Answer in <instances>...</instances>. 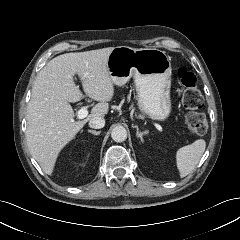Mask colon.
Listing matches in <instances>:
<instances>
[{"mask_svg":"<svg viewBox=\"0 0 240 240\" xmlns=\"http://www.w3.org/2000/svg\"><path fill=\"white\" fill-rule=\"evenodd\" d=\"M180 81V96L183 106L190 110L186 115V124L189 130L196 135L202 136L207 133L208 123L205 116L196 111L203 105V97L197 85V79L190 71L180 68L176 71Z\"/></svg>","mask_w":240,"mask_h":240,"instance_id":"obj_1","label":"colon"}]
</instances>
